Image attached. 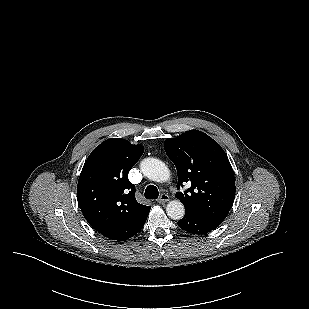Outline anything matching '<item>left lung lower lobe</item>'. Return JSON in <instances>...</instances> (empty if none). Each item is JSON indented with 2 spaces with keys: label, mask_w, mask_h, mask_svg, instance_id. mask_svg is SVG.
<instances>
[{
  "label": "left lung lower lobe",
  "mask_w": 309,
  "mask_h": 309,
  "mask_svg": "<svg viewBox=\"0 0 309 309\" xmlns=\"http://www.w3.org/2000/svg\"><path fill=\"white\" fill-rule=\"evenodd\" d=\"M177 224L181 229L197 235L206 234L220 225L206 217L191 213H186Z\"/></svg>",
  "instance_id": "left-lung-lower-lobe-1"
}]
</instances>
